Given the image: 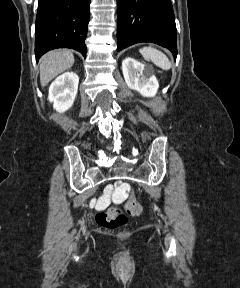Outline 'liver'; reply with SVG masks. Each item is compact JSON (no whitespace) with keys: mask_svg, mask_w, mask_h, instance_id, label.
I'll use <instances>...</instances> for the list:
<instances>
[{"mask_svg":"<svg viewBox=\"0 0 240 288\" xmlns=\"http://www.w3.org/2000/svg\"><path fill=\"white\" fill-rule=\"evenodd\" d=\"M74 55L69 50H54L46 53L40 59V83L46 86L52 79L74 64Z\"/></svg>","mask_w":240,"mask_h":288,"instance_id":"obj_1","label":"liver"}]
</instances>
